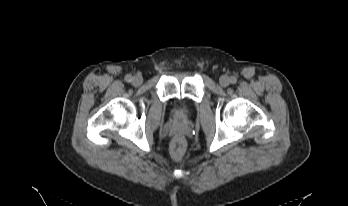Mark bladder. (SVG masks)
Masks as SVG:
<instances>
[{"mask_svg":"<svg viewBox=\"0 0 348 206\" xmlns=\"http://www.w3.org/2000/svg\"><path fill=\"white\" fill-rule=\"evenodd\" d=\"M188 108L184 105H180L177 107V112L181 117H184L188 114Z\"/></svg>","mask_w":348,"mask_h":206,"instance_id":"obj_1","label":"bladder"}]
</instances>
